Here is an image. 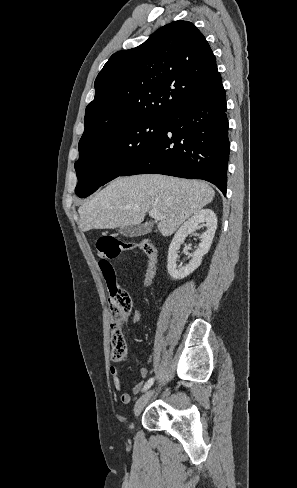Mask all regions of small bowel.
<instances>
[{
  "mask_svg": "<svg viewBox=\"0 0 297 488\" xmlns=\"http://www.w3.org/2000/svg\"><path fill=\"white\" fill-rule=\"evenodd\" d=\"M129 319H131L134 322H138L141 319V313L137 310L133 311L132 313H130L129 315H127L123 319L122 324L128 322ZM109 373H110V376H111L115 390L120 393V399H121L122 403L129 404L132 400V397L129 393H123L122 392V384H121L119 369L116 366H111ZM147 375H148L147 368H141L140 372H139V376L141 378V381L137 382L133 386V388H132L133 394L139 393L141 391V389L144 388L145 384H144L143 379H145L147 377Z\"/></svg>",
  "mask_w": 297,
  "mask_h": 488,
  "instance_id": "small-bowel-1",
  "label": "small bowel"
}]
</instances>
